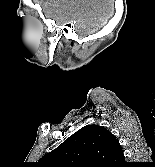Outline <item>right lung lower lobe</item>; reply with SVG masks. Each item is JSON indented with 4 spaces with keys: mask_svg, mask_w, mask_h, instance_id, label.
I'll list each match as a JSON object with an SVG mask.
<instances>
[{
    "mask_svg": "<svg viewBox=\"0 0 155 167\" xmlns=\"http://www.w3.org/2000/svg\"><path fill=\"white\" fill-rule=\"evenodd\" d=\"M125 166H126V164L122 165L121 167H125Z\"/></svg>",
    "mask_w": 155,
    "mask_h": 167,
    "instance_id": "1",
    "label": "right lung lower lobe"
}]
</instances>
